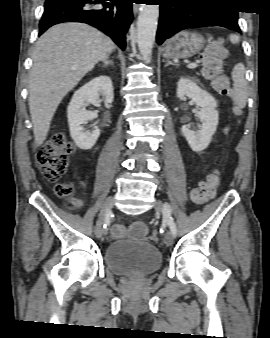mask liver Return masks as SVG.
<instances>
[{"label": "liver", "mask_w": 270, "mask_h": 338, "mask_svg": "<svg viewBox=\"0 0 270 338\" xmlns=\"http://www.w3.org/2000/svg\"><path fill=\"white\" fill-rule=\"evenodd\" d=\"M115 49L113 41L83 23H61L37 41L29 75V110L37 146L45 141L62 99Z\"/></svg>", "instance_id": "6515ba94"}]
</instances>
